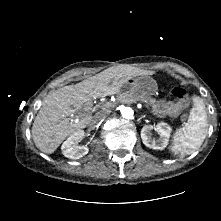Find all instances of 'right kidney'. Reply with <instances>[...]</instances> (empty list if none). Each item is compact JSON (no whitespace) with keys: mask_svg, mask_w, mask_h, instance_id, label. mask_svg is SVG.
Wrapping results in <instances>:
<instances>
[{"mask_svg":"<svg viewBox=\"0 0 221 221\" xmlns=\"http://www.w3.org/2000/svg\"><path fill=\"white\" fill-rule=\"evenodd\" d=\"M85 136L83 130L72 134L61 146L62 153L65 157L70 159H79L86 155L89 151L87 146H77Z\"/></svg>","mask_w":221,"mask_h":221,"instance_id":"1","label":"right kidney"}]
</instances>
